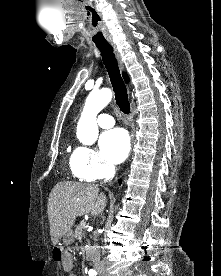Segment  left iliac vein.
Wrapping results in <instances>:
<instances>
[{
	"mask_svg": "<svg viewBox=\"0 0 221 276\" xmlns=\"http://www.w3.org/2000/svg\"><path fill=\"white\" fill-rule=\"evenodd\" d=\"M100 276H110V275L107 274L106 272H100Z\"/></svg>",
	"mask_w": 221,
	"mask_h": 276,
	"instance_id": "obj_1",
	"label": "left iliac vein"
}]
</instances>
